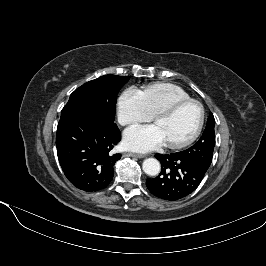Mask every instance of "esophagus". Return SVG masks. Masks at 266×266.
I'll return each instance as SVG.
<instances>
[{
    "instance_id": "esophagus-1",
    "label": "esophagus",
    "mask_w": 266,
    "mask_h": 266,
    "mask_svg": "<svg viewBox=\"0 0 266 266\" xmlns=\"http://www.w3.org/2000/svg\"><path fill=\"white\" fill-rule=\"evenodd\" d=\"M126 156H128V157H134V158H144V157H146V155L135 154V153H127Z\"/></svg>"
}]
</instances>
